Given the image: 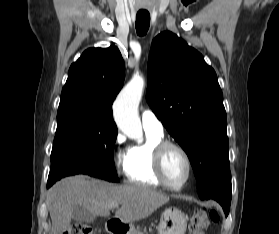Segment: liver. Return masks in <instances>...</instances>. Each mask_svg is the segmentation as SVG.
Returning <instances> with one entry per match:
<instances>
[{
  "label": "liver",
  "mask_w": 279,
  "mask_h": 234,
  "mask_svg": "<svg viewBox=\"0 0 279 234\" xmlns=\"http://www.w3.org/2000/svg\"><path fill=\"white\" fill-rule=\"evenodd\" d=\"M169 196L143 185H113L86 176L57 182L50 190L51 234H63L70 226L76 205L94 216L108 217L112 204L121 205L115 218L122 223L144 219L169 201Z\"/></svg>",
  "instance_id": "liver-1"
}]
</instances>
